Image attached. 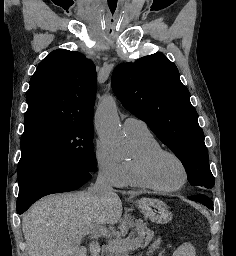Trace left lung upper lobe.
Listing matches in <instances>:
<instances>
[{"label": "left lung upper lobe", "instance_id": "1", "mask_svg": "<svg viewBox=\"0 0 236 256\" xmlns=\"http://www.w3.org/2000/svg\"><path fill=\"white\" fill-rule=\"evenodd\" d=\"M112 88L123 106L181 160L192 186H214L204 133L174 63L159 53L122 63L113 71Z\"/></svg>", "mask_w": 236, "mask_h": 256}]
</instances>
